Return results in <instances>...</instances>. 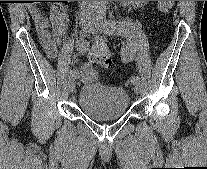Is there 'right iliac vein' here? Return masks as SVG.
Wrapping results in <instances>:
<instances>
[{"label":"right iliac vein","instance_id":"obj_1","mask_svg":"<svg viewBox=\"0 0 207 169\" xmlns=\"http://www.w3.org/2000/svg\"><path fill=\"white\" fill-rule=\"evenodd\" d=\"M92 19L91 18H88V17H85L81 20V26H82V29L83 31H90L91 30V27H92ZM68 89L70 92H73L75 90V79L72 78V79H69L68 81Z\"/></svg>","mask_w":207,"mask_h":169}]
</instances>
